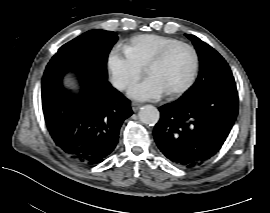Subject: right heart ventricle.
<instances>
[{
	"instance_id": "e07e8e85",
	"label": "right heart ventricle",
	"mask_w": 270,
	"mask_h": 213,
	"mask_svg": "<svg viewBox=\"0 0 270 213\" xmlns=\"http://www.w3.org/2000/svg\"><path fill=\"white\" fill-rule=\"evenodd\" d=\"M180 42L176 38L162 35H139L126 47L125 52L133 62L141 66H148L160 52Z\"/></svg>"
}]
</instances>
